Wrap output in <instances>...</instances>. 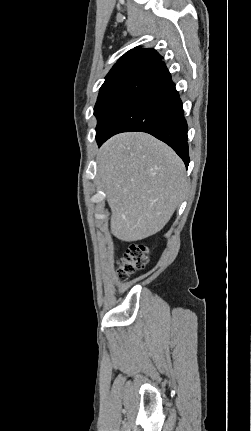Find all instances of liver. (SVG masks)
I'll return each mask as SVG.
<instances>
[{"label": "liver", "instance_id": "obj_1", "mask_svg": "<svg viewBox=\"0 0 251 431\" xmlns=\"http://www.w3.org/2000/svg\"><path fill=\"white\" fill-rule=\"evenodd\" d=\"M97 178L111 208V232L126 242L163 229L186 187L185 166L178 155L140 132L115 135L102 145Z\"/></svg>", "mask_w": 251, "mask_h": 431}]
</instances>
